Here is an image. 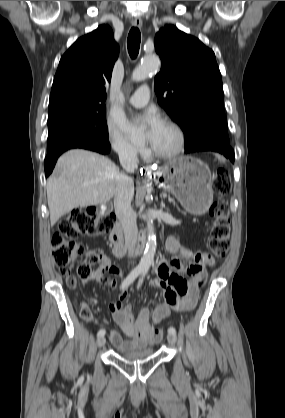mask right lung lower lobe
<instances>
[{
	"label": "right lung lower lobe",
	"instance_id": "98d812e1",
	"mask_svg": "<svg viewBox=\"0 0 285 418\" xmlns=\"http://www.w3.org/2000/svg\"><path fill=\"white\" fill-rule=\"evenodd\" d=\"M72 148H83V149L96 151L101 154H106L110 151V143L109 141H105V140L81 137V138L71 139L69 141H66L60 144L53 150L49 151L45 158L44 167H45L46 177H48L51 174L58 157L63 152Z\"/></svg>",
	"mask_w": 285,
	"mask_h": 418
}]
</instances>
